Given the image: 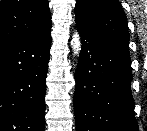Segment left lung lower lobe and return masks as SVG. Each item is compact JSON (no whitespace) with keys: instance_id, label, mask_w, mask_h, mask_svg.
I'll return each instance as SVG.
<instances>
[{"instance_id":"obj_1","label":"left lung lower lobe","mask_w":147,"mask_h":131,"mask_svg":"<svg viewBox=\"0 0 147 131\" xmlns=\"http://www.w3.org/2000/svg\"><path fill=\"white\" fill-rule=\"evenodd\" d=\"M77 29L82 50L75 72L76 131H138L129 49Z\"/></svg>"}]
</instances>
